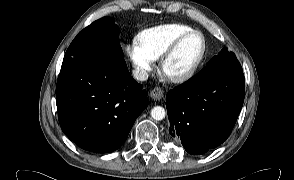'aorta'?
Returning a JSON list of instances; mask_svg holds the SVG:
<instances>
[{
    "label": "aorta",
    "instance_id": "aorta-1",
    "mask_svg": "<svg viewBox=\"0 0 294 180\" xmlns=\"http://www.w3.org/2000/svg\"><path fill=\"white\" fill-rule=\"evenodd\" d=\"M151 117L155 120H162L165 118V109L161 106H155L152 110H151Z\"/></svg>",
    "mask_w": 294,
    "mask_h": 180
}]
</instances>
